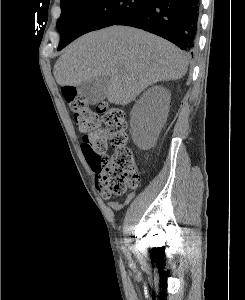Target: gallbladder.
<instances>
[{
  "label": "gallbladder",
  "instance_id": "bac80fb5",
  "mask_svg": "<svg viewBox=\"0 0 245 300\" xmlns=\"http://www.w3.org/2000/svg\"><path fill=\"white\" fill-rule=\"evenodd\" d=\"M109 83V77L100 76L82 83L79 87V92L89 104L95 105L105 99Z\"/></svg>",
  "mask_w": 245,
  "mask_h": 300
}]
</instances>
